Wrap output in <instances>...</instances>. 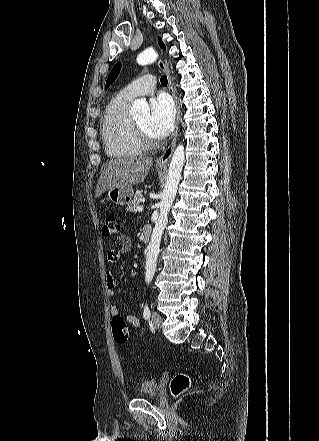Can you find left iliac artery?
Here are the masks:
<instances>
[{
    "mask_svg": "<svg viewBox=\"0 0 319 441\" xmlns=\"http://www.w3.org/2000/svg\"><path fill=\"white\" fill-rule=\"evenodd\" d=\"M143 317L144 319L148 320L150 318V310L148 304L145 305L143 310Z\"/></svg>",
    "mask_w": 319,
    "mask_h": 441,
    "instance_id": "1",
    "label": "left iliac artery"
}]
</instances>
